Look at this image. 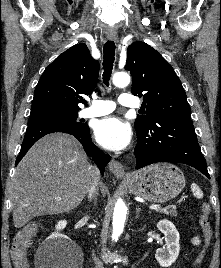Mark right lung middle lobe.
Listing matches in <instances>:
<instances>
[{
	"mask_svg": "<svg viewBox=\"0 0 221 268\" xmlns=\"http://www.w3.org/2000/svg\"><path fill=\"white\" fill-rule=\"evenodd\" d=\"M78 113H62L48 116H37L30 117L28 125L38 124V123H56L63 124L67 126L82 127L86 124L77 120Z\"/></svg>",
	"mask_w": 221,
	"mask_h": 268,
	"instance_id": "1",
	"label": "right lung middle lobe"
}]
</instances>
